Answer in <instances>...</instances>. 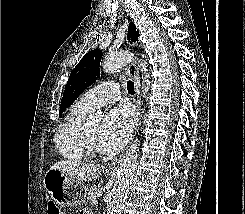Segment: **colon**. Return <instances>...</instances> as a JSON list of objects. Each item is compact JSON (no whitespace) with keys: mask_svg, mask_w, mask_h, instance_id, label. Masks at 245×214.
<instances>
[{"mask_svg":"<svg viewBox=\"0 0 245 214\" xmlns=\"http://www.w3.org/2000/svg\"><path fill=\"white\" fill-rule=\"evenodd\" d=\"M49 214H61L59 209L55 206L54 203H50L49 205Z\"/></svg>","mask_w":245,"mask_h":214,"instance_id":"5ec220e1","label":"colon"}]
</instances>
